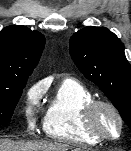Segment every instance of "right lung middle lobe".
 Listing matches in <instances>:
<instances>
[{
	"mask_svg": "<svg viewBox=\"0 0 131 151\" xmlns=\"http://www.w3.org/2000/svg\"><path fill=\"white\" fill-rule=\"evenodd\" d=\"M26 81H0V125L10 122Z\"/></svg>",
	"mask_w": 131,
	"mask_h": 151,
	"instance_id": "obj_1",
	"label": "right lung middle lobe"
}]
</instances>
